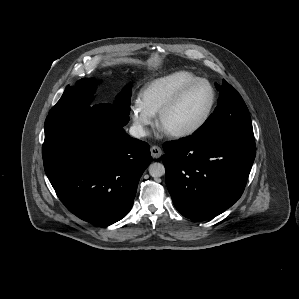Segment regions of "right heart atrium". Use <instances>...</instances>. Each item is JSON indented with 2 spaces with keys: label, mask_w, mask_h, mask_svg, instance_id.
<instances>
[{
  "label": "right heart atrium",
  "mask_w": 299,
  "mask_h": 299,
  "mask_svg": "<svg viewBox=\"0 0 299 299\" xmlns=\"http://www.w3.org/2000/svg\"><path fill=\"white\" fill-rule=\"evenodd\" d=\"M131 113L138 132L146 135L149 128L154 124L155 114L147 110L139 101L132 105Z\"/></svg>",
  "instance_id": "d8ad5b80"
}]
</instances>
